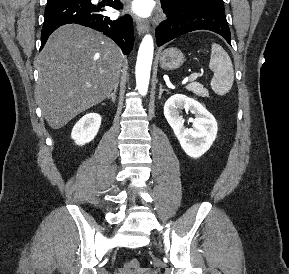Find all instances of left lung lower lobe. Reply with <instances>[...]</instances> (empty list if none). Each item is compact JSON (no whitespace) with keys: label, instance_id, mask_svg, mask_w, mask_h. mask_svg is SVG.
<instances>
[{"label":"left lung lower lobe","instance_id":"obj_1","mask_svg":"<svg viewBox=\"0 0 289 274\" xmlns=\"http://www.w3.org/2000/svg\"><path fill=\"white\" fill-rule=\"evenodd\" d=\"M162 7L168 19L156 28L158 46L185 33L200 29L216 32L231 44V34L223 6L197 4L189 8L173 9L162 2Z\"/></svg>","mask_w":289,"mask_h":274}]
</instances>
